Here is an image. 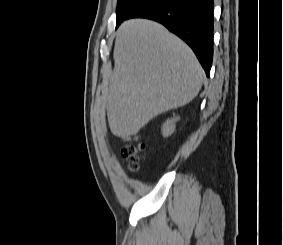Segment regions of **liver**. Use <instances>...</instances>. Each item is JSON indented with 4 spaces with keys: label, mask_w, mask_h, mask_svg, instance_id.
I'll return each mask as SVG.
<instances>
[{
    "label": "liver",
    "mask_w": 283,
    "mask_h": 245,
    "mask_svg": "<svg viewBox=\"0 0 283 245\" xmlns=\"http://www.w3.org/2000/svg\"><path fill=\"white\" fill-rule=\"evenodd\" d=\"M113 57L104 95L116 136L137 134L154 117L192 101L202 87L204 71L192 50L154 21L122 23Z\"/></svg>",
    "instance_id": "obj_1"
}]
</instances>
